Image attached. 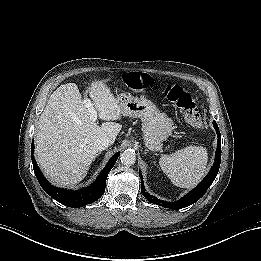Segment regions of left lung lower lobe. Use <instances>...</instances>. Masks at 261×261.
<instances>
[{
  "instance_id": "0a47b994",
  "label": "left lung lower lobe",
  "mask_w": 261,
  "mask_h": 261,
  "mask_svg": "<svg viewBox=\"0 0 261 261\" xmlns=\"http://www.w3.org/2000/svg\"><path fill=\"white\" fill-rule=\"evenodd\" d=\"M213 126L218 135L216 158H215V162H214L213 166L211 167L210 172L202 180V182L195 189H193L189 194L184 196L181 200H179L177 202H166V201L157 199L156 197L148 194L145 191L143 177H142V174L139 173L141 182H142L141 183L142 184L141 193L148 201H150L151 203L157 204L159 206H162V207L178 210V209L185 208V207L195 203L205 194V192L207 191V189L209 188V186L212 184L215 177L217 176V173H218L219 167H220V161H221V135L219 132L218 125L215 121H213Z\"/></svg>"
}]
</instances>
